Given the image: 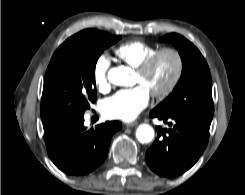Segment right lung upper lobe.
<instances>
[{"label": "right lung upper lobe", "mask_w": 245, "mask_h": 195, "mask_svg": "<svg viewBox=\"0 0 245 195\" xmlns=\"http://www.w3.org/2000/svg\"><path fill=\"white\" fill-rule=\"evenodd\" d=\"M43 123V126H48V125H51L52 123H49V122H42Z\"/></svg>", "instance_id": "right-lung-upper-lobe-1"}]
</instances>
